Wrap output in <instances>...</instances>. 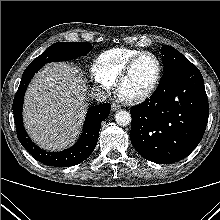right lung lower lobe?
Segmentation results:
<instances>
[{
	"label": "right lung lower lobe",
	"instance_id": "1",
	"mask_svg": "<svg viewBox=\"0 0 220 220\" xmlns=\"http://www.w3.org/2000/svg\"><path fill=\"white\" fill-rule=\"evenodd\" d=\"M39 66H28L23 73L21 82L13 101V113L17 137L23 147L39 162L55 167H69L83 162L95 149L101 122L110 113V103H103L89 108L83 133L79 141L71 148L62 152H46L35 145L28 137L22 121V105L26 88Z\"/></svg>",
	"mask_w": 220,
	"mask_h": 220
}]
</instances>
